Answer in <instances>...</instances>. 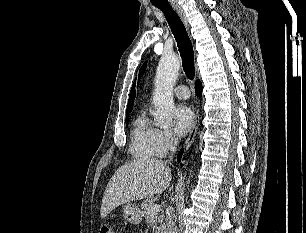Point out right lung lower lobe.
<instances>
[{
  "mask_svg": "<svg viewBox=\"0 0 306 233\" xmlns=\"http://www.w3.org/2000/svg\"><path fill=\"white\" fill-rule=\"evenodd\" d=\"M195 88H196V94H197L198 96H201V93H202V84H201V82H200L199 80L196 81V86H195ZM182 153H183V151H181V152L179 153L178 158H177L178 161L181 160Z\"/></svg>",
  "mask_w": 306,
  "mask_h": 233,
  "instance_id": "right-lung-lower-lobe-1",
  "label": "right lung lower lobe"
}]
</instances>
